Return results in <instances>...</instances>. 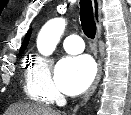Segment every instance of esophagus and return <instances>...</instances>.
<instances>
[{
    "label": "esophagus",
    "instance_id": "34e87169",
    "mask_svg": "<svg viewBox=\"0 0 131 115\" xmlns=\"http://www.w3.org/2000/svg\"><path fill=\"white\" fill-rule=\"evenodd\" d=\"M93 2V13H94V19L97 25V34H96V42L98 43L101 39V34H102V25H101V2L100 0H92ZM101 75H102V62L100 57L98 56V71H97V75L96 78L94 80V82L92 83L91 87L89 88V90L87 91V93L85 94V96L83 97L81 104H85L89 98L93 95V93L95 92L100 79H101Z\"/></svg>",
    "mask_w": 131,
    "mask_h": 115
}]
</instances>
